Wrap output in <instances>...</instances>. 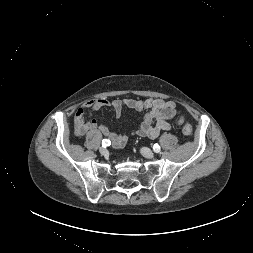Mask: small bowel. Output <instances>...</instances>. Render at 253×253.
<instances>
[{
	"instance_id": "obj_1",
	"label": "small bowel",
	"mask_w": 253,
	"mask_h": 253,
	"mask_svg": "<svg viewBox=\"0 0 253 253\" xmlns=\"http://www.w3.org/2000/svg\"><path fill=\"white\" fill-rule=\"evenodd\" d=\"M112 107L117 117H120L125 108L134 109L138 112H145L139 128L134 132L140 137L155 138L162 131H168L171 128L169 121L178 116V125L183 124L184 117L176 110L175 103L163 99H116L109 101L105 98H96L88 100L80 107L74 116V133L82 137L91 130H99L108 137L114 146L123 147L128 140L127 135H120L109 130L105 123H98L94 118L85 120V114H90L102 107Z\"/></svg>"
}]
</instances>
